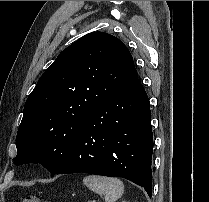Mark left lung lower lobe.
Wrapping results in <instances>:
<instances>
[{
	"mask_svg": "<svg viewBox=\"0 0 209 202\" xmlns=\"http://www.w3.org/2000/svg\"><path fill=\"white\" fill-rule=\"evenodd\" d=\"M150 104L137 79L85 117L83 130L56 174L123 177L152 195Z\"/></svg>",
	"mask_w": 209,
	"mask_h": 202,
	"instance_id": "obj_1",
	"label": "left lung lower lobe"
}]
</instances>
